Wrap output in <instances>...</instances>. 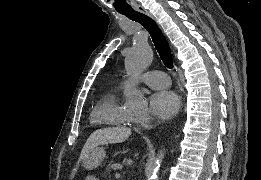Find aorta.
Masks as SVG:
<instances>
[{
	"instance_id": "1",
	"label": "aorta",
	"mask_w": 261,
	"mask_h": 180,
	"mask_svg": "<svg viewBox=\"0 0 261 180\" xmlns=\"http://www.w3.org/2000/svg\"><path fill=\"white\" fill-rule=\"evenodd\" d=\"M153 60V50L147 42L136 43L126 52L125 68L131 77L140 75ZM125 105L131 110H142L147 107L144 96L137 88L125 91ZM165 150H161L157 157L148 164L146 175L148 180L157 179L160 164L164 158Z\"/></svg>"
}]
</instances>
